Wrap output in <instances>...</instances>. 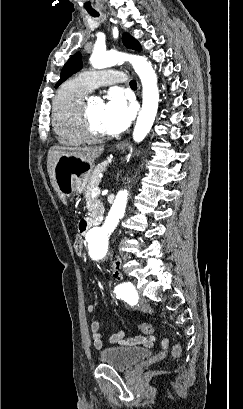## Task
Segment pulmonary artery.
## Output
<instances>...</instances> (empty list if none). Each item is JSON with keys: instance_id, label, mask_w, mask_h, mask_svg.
Segmentation results:
<instances>
[{"instance_id": "obj_1", "label": "pulmonary artery", "mask_w": 243, "mask_h": 409, "mask_svg": "<svg viewBox=\"0 0 243 409\" xmlns=\"http://www.w3.org/2000/svg\"><path fill=\"white\" fill-rule=\"evenodd\" d=\"M79 77L90 90L125 81L124 75L115 70L86 71L82 72Z\"/></svg>"}]
</instances>
